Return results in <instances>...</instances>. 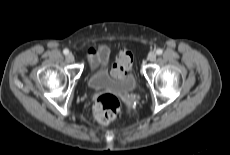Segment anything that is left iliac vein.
<instances>
[{"instance_id": "1", "label": "left iliac vein", "mask_w": 230, "mask_h": 155, "mask_svg": "<svg viewBox=\"0 0 230 155\" xmlns=\"http://www.w3.org/2000/svg\"><path fill=\"white\" fill-rule=\"evenodd\" d=\"M157 56L155 53H151L148 56L149 61L154 62L156 60Z\"/></svg>"}]
</instances>
